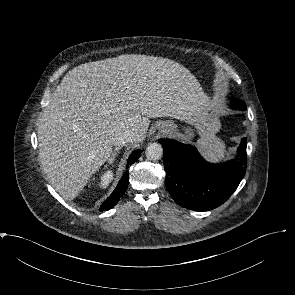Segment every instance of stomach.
Returning <instances> with one entry per match:
<instances>
[{"mask_svg":"<svg viewBox=\"0 0 295 295\" xmlns=\"http://www.w3.org/2000/svg\"><path fill=\"white\" fill-rule=\"evenodd\" d=\"M209 104H210L209 107L206 109L203 115L189 122L187 126H184L181 129H179L178 126L172 121L161 122L160 126H163L164 124H169L171 126V133L185 140L191 139L193 136V131L195 129L200 130L205 125L214 126L218 130L219 128L218 117L215 114L213 110V105L211 104L210 101H209Z\"/></svg>","mask_w":295,"mask_h":295,"instance_id":"obj_1","label":"stomach"}]
</instances>
